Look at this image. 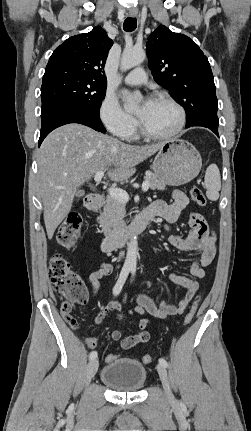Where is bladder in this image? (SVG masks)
Instances as JSON below:
<instances>
[{
	"label": "bladder",
	"instance_id": "1",
	"mask_svg": "<svg viewBox=\"0 0 251 431\" xmlns=\"http://www.w3.org/2000/svg\"><path fill=\"white\" fill-rule=\"evenodd\" d=\"M147 378L145 367L137 360L120 358L113 360L101 371V381L110 388L120 392L140 390Z\"/></svg>",
	"mask_w": 251,
	"mask_h": 431
}]
</instances>
